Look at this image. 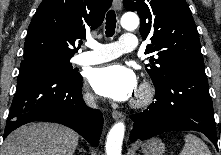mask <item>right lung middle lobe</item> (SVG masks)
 <instances>
[{
	"mask_svg": "<svg viewBox=\"0 0 221 155\" xmlns=\"http://www.w3.org/2000/svg\"><path fill=\"white\" fill-rule=\"evenodd\" d=\"M70 59L71 57L49 53L33 54L24 56L20 67L26 64L42 65L55 70L64 78L76 79L81 75L76 72V69H73Z\"/></svg>",
	"mask_w": 221,
	"mask_h": 155,
	"instance_id": "1",
	"label": "right lung middle lobe"
}]
</instances>
